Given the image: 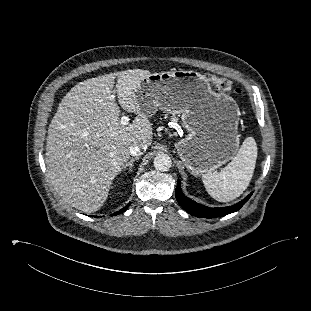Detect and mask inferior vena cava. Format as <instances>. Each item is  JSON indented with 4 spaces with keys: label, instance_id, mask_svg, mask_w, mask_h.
Here are the masks:
<instances>
[{
    "label": "inferior vena cava",
    "instance_id": "inferior-vena-cava-1",
    "mask_svg": "<svg viewBox=\"0 0 311 311\" xmlns=\"http://www.w3.org/2000/svg\"><path fill=\"white\" fill-rule=\"evenodd\" d=\"M147 149L146 144H141V145H134L130 147V154L132 156H139L142 155Z\"/></svg>",
    "mask_w": 311,
    "mask_h": 311
}]
</instances>
